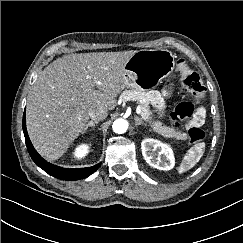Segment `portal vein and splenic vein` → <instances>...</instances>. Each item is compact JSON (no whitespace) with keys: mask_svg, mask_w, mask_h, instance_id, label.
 I'll use <instances>...</instances> for the list:
<instances>
[{"mask_svg":"<svg viewBox=\"0 0 243 243\" xmlns=\"http://www.w3.org/2000/svg\"><path fill=\"white\" fill-rule=\"evenodd\" d=\"M136 113L137 114H140L141 113V106L140 105H137V107H136Z\"/></svg>","mask_w":243,"mask_h":243,"instance_id":"portal-vein-and-splenic-vein-1","label":"portal vein and splenic vein"}]
</instances>
